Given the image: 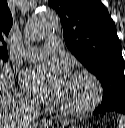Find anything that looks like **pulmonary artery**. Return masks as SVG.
<instances>
[{
    "instance_id": "obj_1",
    "label": "pulmonary artery",
    "mask_w": 125,
    "mask_h": 128,
    "mask_svg": "<svg viewBox=\"0 0 125 128\" xmlns=\"http://www.w3.org/2000/svg\"><path fill=\"white\" fill-rule=\"evenodd\" d=\"M62 45L57 36L49 37L44 47H31L23 53V58L27 61H39L48 55H57L61 52Z\"/></svg>"
}]
</instances>
